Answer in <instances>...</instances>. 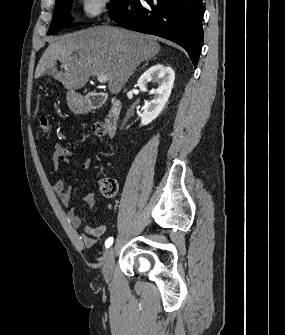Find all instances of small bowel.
<instances>
[{
    "label": "small bowel",
    "mask_w": 285,
    "mask_h": 335,
    "mask_svg": "<svg viewBox=\"0 0 285 335\" xmlns=\"http://www.w3.org/2000/svg\"><path fill=\"white\" fill-rule=\"evenodd\" d=\"M71 155L72 152L70 150L64 149L57 144L54 147L52 159L55 166L59 167L61 164L68 163ZM80 167L83 170H89L91 167V159H83L80 163ZM53 189L56 192L61 204L67 207L71 198V186L65 180H59L53 185ZM96 198V192L93 190L84 197L83 203L85 206L91 208L95 205ZM67 218L72 227L75 229H79L83 226V221L74 208H70L67 211ZM106 230V225H100L97 227H91L89 225L84 226L83 233L81 235L83 244L86 247L94 246L99 238L104 235Z\"/></svg>",
    "instance_id": "1"
}]
</instances>
